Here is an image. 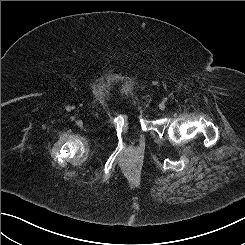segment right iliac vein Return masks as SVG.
<instances>
[{
  "label": "right iliac vein",
  "mask_w": 245,
  "mask_h": 245,
  "mask_svg": "<svg viewBox=\"0 0 245 245\" xmlns=\"http://www.w3.org/2000/svg\"><path fill=\"white\" fill-rule=\"evenodd\" d=\"M76 124H77L79 127H81V126L83 125V122H82L81 120H77V121H76Z\"/></svg>",
  "instance_id": "obj_1"
}]
</instances>
